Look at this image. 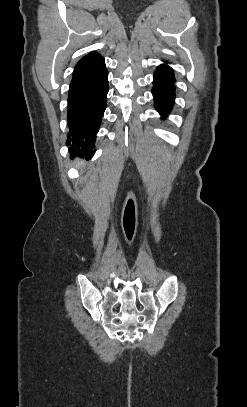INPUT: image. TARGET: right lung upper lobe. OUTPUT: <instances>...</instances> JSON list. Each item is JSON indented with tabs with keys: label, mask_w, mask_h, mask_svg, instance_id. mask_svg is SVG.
<instances>
[{
	"label": "right lung upper lobe",
	"mask_w": 247,
	"mask_h": 407,
	"mask_svg": "<svg viewBox=\"0 0 247 407\" xmlns=\"http://www.w3.org/2000/svg\"><path fill=\"white\" fill-rule=\"evenodd\" d=\"M99 57H101L97 52H91L88 55H86L85 57H83L75 66V70L79 69L83 66H85L86 64L95 61L96 59H98Z\"/></svg>",
	"instance_id": "cb5924a9"
}]
</instances>
